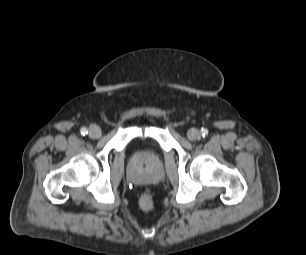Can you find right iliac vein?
Wrapping results in <instances>:
<instances>
[{
    "label": "right iliac vein",
    "instance_id": "obj_1",
    "mask_svg": "<svg viewBox=\"0 0 306 255\" xmlns=\"http://www.w3.org/2000/svg\"><path fill=\"white\" fill-rule=\"evenodd\" d=\"M101 134V129L97 125H91L89 127V136L93 139L98 138Z\"/></svg>",
    "mask_w": 306,
    "mask_h": 255
}]
</instances>
